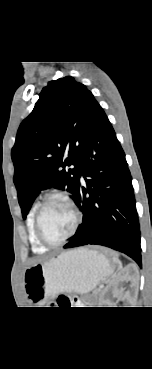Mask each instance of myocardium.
Wrapping results in <instances>:
<instances>
[{"mask_svg":"<svg viewBox=\"0 0 152 369\" xmlns=\"http://www.w3.org/2000/svg\"><path fill=\"white\" fill-rule=\"evenodd\" d=\"M52 200H61L63 202H65L72 210L73 215H74V224L73 227L71 229V231L69 232V234H67L65 237H63L62 239L52 242L49 241L43 234L42 229H41V216L42 213L45 209V207L49 204V202H51ZM82 222V214L78 208V206L76 205V203L74 202V200L66 193L63 192H54L51 193L49 195H47L43 201L39 204L36 213H35V219H34V226H35V234L36 237L38 239V241L45 247H57L62 245L63 243H65L67 240H69L70 238H72L80 224Z\"/></svg>","mask_w":152,"mask_h":369,"instance_id":"1","label":"myocardium"}]
</instances>
